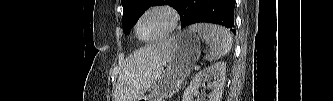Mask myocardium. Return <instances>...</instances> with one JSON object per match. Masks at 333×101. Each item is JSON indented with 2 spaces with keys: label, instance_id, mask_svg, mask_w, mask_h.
<instances>
[{
  "label": "myocardium",
  "instance_id": "myocardium-1",
  "mask_svg": "<svg viewBox=\"0 0 333 101\" xmlns=\"http://www.w3.org/2000/svg\"><path fill=\"white\" fill-rule=\"evenodd\" d=\"M154 12H162V13L167 14L170 17V24L163 33H161L153 38L145 39V38L141 37V35H140V31H139L140 23L144 19V17H146L147 15L154 13ZM179 22H180V15L175 8H173L172 6H169V5H155V6H152L148 9H146L139 15V17L136 21V24H135V32H136L137 37L141 41L153 42V41L165 38L168 35H170L172 32H174L176 30V28L178 27Z\"/></svg>",
  "mask_w": 333,
  "mask_h": 101
}]
</instances>
